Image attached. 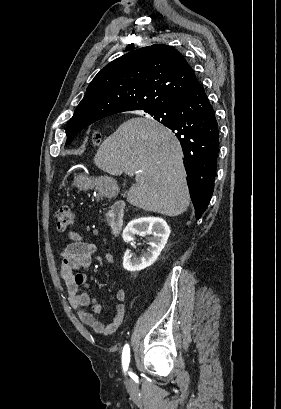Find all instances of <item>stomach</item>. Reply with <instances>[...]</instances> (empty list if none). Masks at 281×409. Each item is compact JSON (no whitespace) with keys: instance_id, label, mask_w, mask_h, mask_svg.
<instances>
[{"instance_id":"0dacf381","label":"stomach","mask_w":281,"mask_h":409,"mask_svg":"<svg viewBox=\"0 0 281 409\" xmlns=\"http://www.w3.org/2000/svg\"><path fill=\"white\" fill-rule=\"evenodd\" d=\"M73 184L79 190H88V188H96L100 196H117L120 188L114 178L110 176H87V174H77L74 176Z\"/></svg>"}]
</instances>
